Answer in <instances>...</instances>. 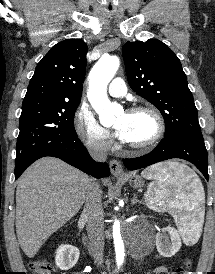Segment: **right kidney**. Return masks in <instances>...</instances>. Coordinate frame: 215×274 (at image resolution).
I'll return each mask as SVG.
<instances>
[{
    "label": "right kidney",
    "mask_w": 215,
    "mask_h": 274,
    "mask_svg": "<svg viewBox=\"0 0 215 274\" xmlns=\"http://www.w3.org/2000/svg\"><path fill=\"white\" fill-rule=\"evenodd\" d=\"M79 249L72 245H61L56 252V266L61 270H69L79 259Z\"/></svg>",
    "instance_id": "ca27d5eb"
}]
</instances>
